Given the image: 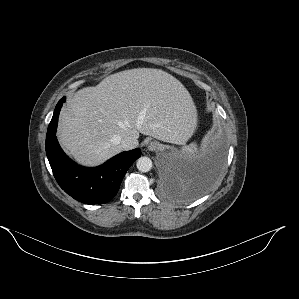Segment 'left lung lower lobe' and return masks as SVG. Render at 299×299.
<instances>
[{"instance_id":"1","label":"left lung lower lobe","mask_w":299,"mask_h":299,"mask_svg":"<svg viewBox=\"0 0 299 299\" xmlns=\"http://www.w3.org/2000/svg\"><path fill=\"white\" fill-rule=\"evenodd\" d=\"M224 154V148L220 146L190 161L186 166L184 165L181 177L191 184L193 192L202 193L214 184L220 174ZM174 166L170 165L164 169L166 191L170 190L171 178L175 175Z\"/></svg>"}]
</instances>
